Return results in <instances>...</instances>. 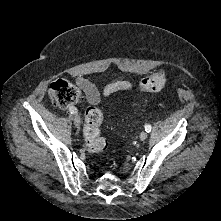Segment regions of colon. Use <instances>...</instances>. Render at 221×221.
<instances>
[{
	"label": "colon",
	"mask_w": 221,
	"mask_h": 221,
	"mask_svg": "<svg viewBox=\"0 0 221 221\" xmlns=\"http://www.w3.org/2000/svg\"><path fill=\"white\" fill-rule=\"evenodd\" d=\"M166 83V74L164 70H158L155 73L144 78L139 88L142 91L157 92L160 91ZM51 101L60 107H66L76 104L80 98L78 89L65 80H56L49 89ZM103 121V111L96 106H90L85 112L84 136L86 146L90 152L99 153L106 149L107 141L100 135V125Z\"/></svg>",
	"instance_id": "1"
}]
</instances>
